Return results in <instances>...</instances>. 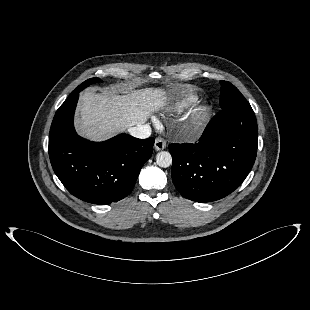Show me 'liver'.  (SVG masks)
<instances>
[{
    "label": "liver",
    "instance_id": "1",
    "mask_svg": "<svg viewBox=\"0 0 310 310\" xmlns=\"http://www.w3.org/2000/svg\"><path fill=\"white\" fill-rule=\"evenodd\" d=\"M167 101L163 87H150L123 95L87 90L80 96L77 129L81 136L101 141L145 123L154 112L163 109Z\"/></svg>",
    "mask_w": 310,
    "mask_h": 310
}]
</instances>
